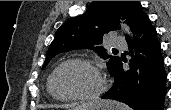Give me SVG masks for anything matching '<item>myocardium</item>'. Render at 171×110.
<instances>
[{
  "label": "myocardium",
  "mask_w": 171,
  "mask_h": 110,
  "mask_svg": "<svg viewBox=\"0 0 171 110\" xmlns=\"http://www.w3.org/2000/svg\"><path fill=\"white\" fill-rule=\"evenodd\" d=\"M69 64L84 65V66L89 67L93 71H95L100 78L99 88L91 94H80V95H72V96H61V95L57 94L53 87L54 78L60 69H62L64 66L69 65ZM47 87H48V91L52 95V97H54L55 99H57L59 101H94V100H97L98 98H100L105 93V91L108 88V80H107L105 74L103 73V71L98 66H96L94 63H92L91 61L86 60V59H81V58H73V59H68V60L60 63L53 70V72L51 73V75L48 79Z\"/></svg>",
  "instance_id": "obj_1"
}]
</instances>
